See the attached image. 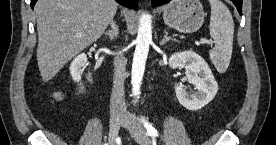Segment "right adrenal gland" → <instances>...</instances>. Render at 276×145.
Instances as JSON below:
<instances>
[{
  "mask_svg": "<svg viewBox=\"0 0 276 145\" xmlns=\"http://www.w3.org/2000/svg\"><path fill=\"white\" fill-rule=\"evenodd\" d=\"M110 26H111V30L106 31L104 33V35L108 36L109 39L112 41L113 39H115V38L118 37L119 29H118V26H117V24H116V22L114 20H112L110 22Z\"/></svg>",
  "mask_w": 276,
  "mask_h": 145,
  "instance_id": "1",
  "label": "right adrenal gland"
}]
</instances>
